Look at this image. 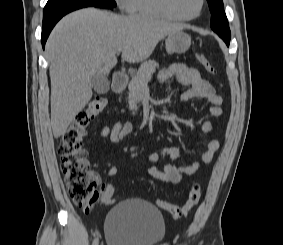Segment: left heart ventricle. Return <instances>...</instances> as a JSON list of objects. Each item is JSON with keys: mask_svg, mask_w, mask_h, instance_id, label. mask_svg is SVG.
<instances>
[{"mask_svg": "<svg viewBox=\"0 0 283 245\" xmlns=\"http://www.w3.org/2000/svg\"><path fill=\"white\" fill-rule=\"evenodd\" d=\"M174 10L181 16L194 15L199 8V0H172Z\"/></svg>", "mask_w": 283, "mask_h": 245, "instance_id": "b2bd125f", "label": "left heart ventricle"}]
</instances>
